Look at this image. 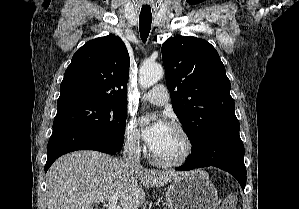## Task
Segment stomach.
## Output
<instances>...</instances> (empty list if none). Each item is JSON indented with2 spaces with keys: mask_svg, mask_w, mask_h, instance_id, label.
<instances>
[{
  "mask_svg": "<svg viewBox=\"0 0 299 209\" xmlns=\"http://www.w3.org/2000/svg\"><path fill=\"white\" fill-rule=\"evenodd\" d=\"M169 209H216L218 193L207 172L195 170L174 180L165 193Z\"/></svg>",
  "mask_w": 299,
  "mask_h": 209,
  "instance_id": "stomach-1",
  "label": "stomach"
}]
</instances>
